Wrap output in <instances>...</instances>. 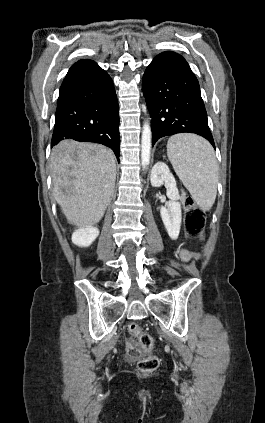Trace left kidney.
<instances>
[{"instance_id":"obj_1","label":"left kidney","mask_w":265,"mask_h":423,"mask_svg":"<svg viewBox=\"0 0 265 423\" xmlns=\"http://www.w3.org/2000/svg\"><path fill=\"white\" fill-rule=\"evenodd\" d=\"M165 185L167 197L170 201L166 206L160 208V215L164 226L171 239L176 240L179 236L182 221L181 204L179 191L174 176L170 173L164 162H157L151 171V185L160 187Z\"/></svg>"}]
</instances>
